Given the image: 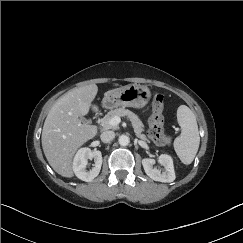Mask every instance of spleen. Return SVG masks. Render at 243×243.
Masks as SVG:
<instances>
[{
  "instance_id": "1",
  "label": "spleen",
  "mask_w": 243,
  "mask_h": 243,
  "mask_svg": "<svg viewBox=\"0 0 243 243\" xmlns=\"http://www.w3.org/2000/svg\"><path fill=\"white\" fill-rule=\"evenodd\" d=\"M177 121L181 134L174 140V149L181 162L188 165L194 160L200 144L196 116L186 105H181L177 110Z\"/></svg>"
}]
</instances>
